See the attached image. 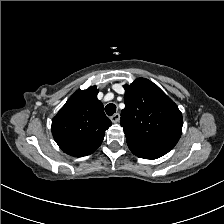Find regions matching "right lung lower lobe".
Masks as SVG:
<instances>
[{
    "mask_svg": "<svg viewBox=\"0 0 224 224\" xmlns=\"http://www.w3.org/2000/svg\"><path fill=\"white\" fill-rule=\"evenodd\" d=\"M59 147L67 154L72 156H79L77 148L72 143L60 142L58 143Z\"/></svg>",
    "mask_w": 224,
    "mask_h": 224,
    "instance_id": "obj_1",
    "label": "right lung lower lobe"
}]
</instances>
